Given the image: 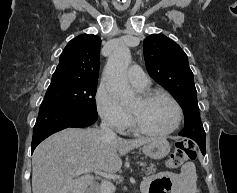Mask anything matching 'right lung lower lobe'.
Returning <instances> with one entry per match:
<instances>
[{"mask_svg":"<svg viewBox=\"0 0 237 193\" xmlns=\"http://www.w3.org/2000/svg\"><path fill=\"white\" fill-rule=\"evenodd\" d=\"M98 116L76 114L56 107L41 106L33 129L32 153L36 146L51 134L68 127H87Z\"/></svg>","mask_w":237,"mask_h":193,"instance_id":"1","label":"right lung lower lobe"}]
</instances>
